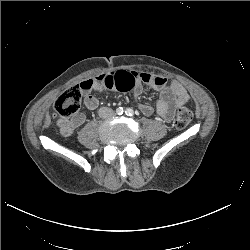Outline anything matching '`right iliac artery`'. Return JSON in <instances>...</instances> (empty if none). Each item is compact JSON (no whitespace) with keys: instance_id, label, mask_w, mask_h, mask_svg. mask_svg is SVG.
<instances>
[{"instance_id":"right-iliac-artery-1","label":"right iliac artery","mask_w":250,"mask_h":250,"mask_svg":"<svg viewBox=\"0 0 250 250\" xmlns=\"http://www.w3.org/2000/svg\"><path fill=\"white\" fill-rule=\"evenodd\" d=\"M123 108L122 107H119V108H117L116 109V113L118 114V115H122L123 114Z\"/></svg>"}]
</instances>
